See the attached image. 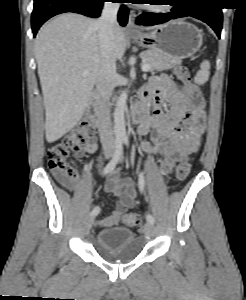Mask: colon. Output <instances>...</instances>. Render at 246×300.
I'll use <instances>...</instances> for the list:
<instances>
[{"label":"colon","instance_id":"colon-1","mask_svg":"<svg viewBox=\"0 0 246 300\" xmlns=\"http://www.w3.org/2000/svg\"><path fill=\"white\" fill-rule=\"evenodd\" d=\"M176 77L186 86L187 92L196 108L203 107V97L199 89L192 84L189 70L184 65H178L174 69ZM93 135V127L90 122L81 121L66 137V139L52 146L47 153L48 168L58 177L72 179L76 177V171L70 162V157L80 153L88 144ZM191 171L190 158L182 159L175 169V179L184 181ZM123 223L127 226L141 224V218L136 213L123 215Z\"/></svg>","mask_w":246,"mask_h":300}]
</instances>
